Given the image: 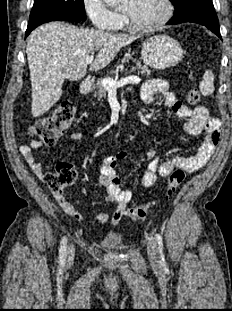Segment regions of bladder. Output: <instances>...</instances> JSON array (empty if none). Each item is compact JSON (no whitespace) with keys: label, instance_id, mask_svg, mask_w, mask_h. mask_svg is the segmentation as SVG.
Instances as JSON below:
<instances>
[{"label":"bladder","instance_id":"1","mask_svg":"<svg viewBox=\"0 0 232 311\" xmlns=\"http://www.w3.org/2000/svg\"><path fill=\"white\" fill-rule=\"evenodd\" d=\"M123 243V238L120 234H109L101 239V245L108 250H116Z\"/></svg>","mask_w":232,"mask_h":311}]
</instances>
